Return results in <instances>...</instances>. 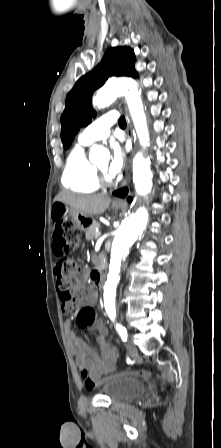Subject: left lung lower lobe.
<instances>
[{
	"label": "left lung lower lobe",
	"mask_w": 221,
	"mask_h": 448,
	"mask_svg": "<svg viewBox=\"0 0 221 448\" xmlns=\"http://www.w3.org/2000/svg\"><path fill=\"white\" fill-rule=\"evenodd\" d=\"M127 192H128L127 189H122V190L114 192L113 194L116 196L125 197L127 195Z\"/></svg>",
	"instance_id": "1"
}]
</instances>
